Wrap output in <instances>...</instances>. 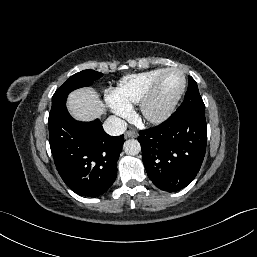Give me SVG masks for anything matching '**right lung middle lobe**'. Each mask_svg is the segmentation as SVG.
<instances>
[{"label": "right lung middle lobe", "mask_w": 257, "mask_h": 257, "mask_svg": "<svg viewBox=\"0 0 257 257\" xmlns=\"http://www.w3.org/2000/svg\"><path fill=\"white\" fill-rule=\"evenodd\" d=\"M103 74L94 70H83L71 76L53 95L52 107L49 116L65 107L68 94L80 87L90 86L102 77Z\"/></svg>", "instance_id": "obj_1"}]
</instances>
